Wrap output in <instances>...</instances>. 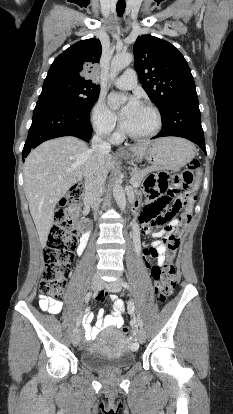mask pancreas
Listing matches in <instances>:
<instances>
[{
  "label": "pancreas",
  "mask_w": 233,
  "mask_h": 414,
  "mask_svg": "<svg viewBox=\"0 0 233 414\" xmlns=\"http://www.w3.org/2000/svg\"><path fill=\"white\" fill-rule=\"evenodd\" d=\"M150 171H152V169L150 167L149 168H146V169H141V170H137V169L132 170V172H131V177L133 178V181L132 182H134V183L137 184L136 186H134L135 188L138 187L141 184V182L144 179V177Z\"/></svg>",
  "instance_id": "pancreas-1"
}]
</instances>
